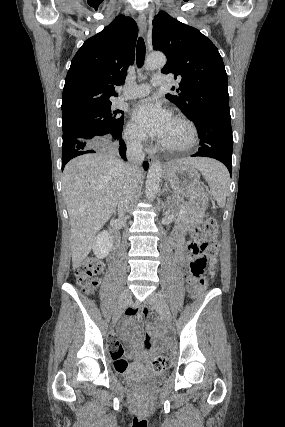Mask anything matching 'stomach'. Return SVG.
<instances>
[{"mask_svg": "<svg viewBox=\"0 0 285 427\" xmlns=\"http://www.w3.org/2000/svg\"><path fill=\"white\" fill-rule=\"evenodd\" d=\"M165 177L174 193L190 198L196 207V214L204 210L209 192L201 187L200 175L195 167L172 162L165 168Z\"/></svg>", "mask_w": 285, "mask_h": 427, "instance_id": "obj_1", "label": "stomach"}]
</instances>
